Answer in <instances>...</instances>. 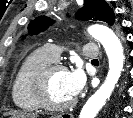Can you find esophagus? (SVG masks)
Listing matches in <instances>:
<instances>
[{
  "mask_svg": "<svg viewBox=\"0 0 133 118\" xmlns=\"http://www.w3.org/2000/svg\"><path fill=\"white\" fill-rule=\"evenodd\" d=\"M61 118H73L72 114H63Z\"/></svg>",
  "mask_w": 133,
  "mask_h": 118,
  "instance_id": "esophagus-1",
  "label": "esophagus"
}]
</instances>
